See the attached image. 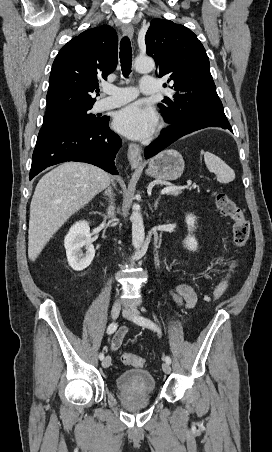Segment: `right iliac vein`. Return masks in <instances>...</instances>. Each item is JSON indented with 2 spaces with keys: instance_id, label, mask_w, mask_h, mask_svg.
<instances>
[{
  "instance_id": "obj_1",
  "label": "right iliac vein",
  "mask_w": 272,
  "mask_h": 452,
  "mask_svg": "<svg viewBox=\"0 0 272 452\" xmlns=\"http://www.w3.org/2000/svg\"><path fill=\"white\" fill-rule=\"evenodd\" d=\"M121 310L120 303H115L111 308V317L112 319H117ZM111 364V358L109 356H106L102 361L103 368H108Z\"/></svg>"
}]
</instances>
